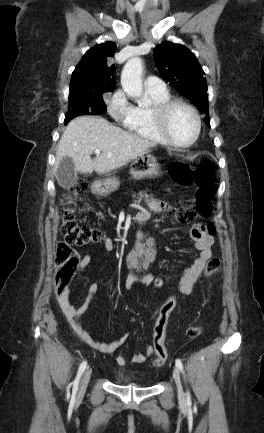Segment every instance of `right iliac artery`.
<instances>
[{
	"label": "right iliac artery",
	"instance_id": "obj_1",
	"mask_svg": "<svg viewBox=\"0 0 264 433\" xmlns=\"http://www.w3.org/2000/svg\"><path fill=\"white\" fill-rule=\"evenodd\" d=\"M86 366H87V362L83 361L79 367L77 376H76L75 380L73 381L72 398L75 396V394L78 390L79 380H80V377L83 374L84 370L86 369Z\"/></svg>",
	"mask_w": 264,
	"mask_h": 433
}]
</instances>
